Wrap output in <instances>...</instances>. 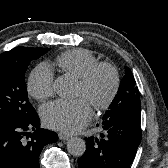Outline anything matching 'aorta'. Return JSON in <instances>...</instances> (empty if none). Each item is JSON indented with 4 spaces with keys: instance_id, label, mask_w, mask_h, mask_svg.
I'll return each instance as SVG.
<instances>
[{
    "instance_id": "obj_1",
    "label": "aorta",
    "mask_w": 168,
    "mask_h": 168,
    "mask_svg": "<svg viewBox=\"0 0 168 168\" xmlns=\"http://www.w3.org/2000/svg\"><path fill=\"white\" fill-rule=\"evenodd\" d=\"M75 89L76 82L69 76H59L54 82V90L59 97L70 98ZM67 150L73 156H82L86 150L85 141L79 137H72L67 142Z\"/></svg>"
}]
</instances>
